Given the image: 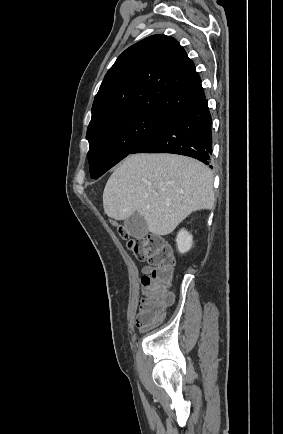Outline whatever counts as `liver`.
Listing matches in <instances>:
<instances>
[{"mask_svg":"<svg viewBox=\"0 0 283 434\" xmlns=\"http://www.w3.org/2000/svg\"><path fill=\"white\" fill-rule=\"evenodd\" d=\"M215 202L213 175L201 162L176 154H133L115 169L103 192L105 213L126 220L135 212L148 231L167 235L192 212Z\"/></svg>","mask_w":283,"mask_h":434,"instance_id":"obj_1","label":"liver"}]
</instances>
